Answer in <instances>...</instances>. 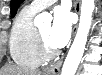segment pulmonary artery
<instances>
[{"mask_svg":"<svg viewBox=\"0 0 102 75\" xmlns=\"http://www.w3.org/2000/svg\"><path fill=\"white\" fill-rule=\"evenodd\" d=\"M54 0H36L32 1L27 7L35 12H39L54 3Z\"/></svg>","mask_w":102,"mask_h":75,"instance_id":"e3ab8cb5","label":"pulmonary artery"}]
</instances>
